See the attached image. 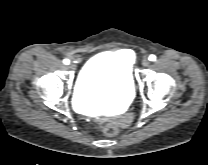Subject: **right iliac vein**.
Masks as SVG:
<instances>
[{"instance_id":"63e3f726","label":"right iliac vein","mask_w":208,"mask_h":165,"mask_svg":"<svg viewBox=\"0 0 208 165\" xmlns=\"http://www.w3.org/2000/svg\"><path fill=\"white\" fill-rule=\"evenodd\" d=\"M69 68H70L71 70H75V69H76V65H75L74 63H70V64H69Z\"/></svg>"}]
</instances>
